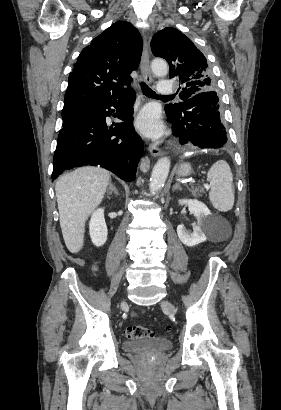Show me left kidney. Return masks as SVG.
<instances>
[{
    "label": "left kidney",
    "instance_id": "left-kidney-1",
    "mask_svg": "<svg viewBox=\"0 0 281 410\" xmlns=\"http://www.w3.org/2000/svg\"><path fill=\"white\" fill-rule=\"evenodd\" d=\"M179 204L187 205L189 211L198 220V224L194 226V231L191 233L187 232L183 225L177 227V234L181 242L188 247H193L206 241L205 230L209 226L211 219V212L208 207L196 199H182L179 200Z\"/></svg>",
    "mask_w": 281,
    "mask_h": 410
}]
</instances>
